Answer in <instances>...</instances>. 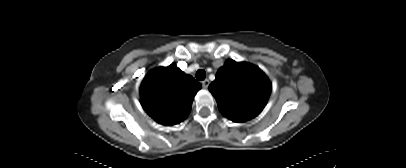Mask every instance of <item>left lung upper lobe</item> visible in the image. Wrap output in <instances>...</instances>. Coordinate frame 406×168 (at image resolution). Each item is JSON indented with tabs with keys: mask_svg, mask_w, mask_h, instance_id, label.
Wrapping results in <instances>:
<instances>
[{
	"mask_svg": "<svg viewBox=\"0 0 406 168\" xmlns=\"http://www.w3.org/2000/svg\"><path fill=\"white\" fill-rule=\"evenodd\" d=\"M209 90L224 116L234 122H245L263 110L271 93V83L257 66L227 60Z\"/></svg>",
	"mask_w": 406,
	"mask_h": 168,
	"instance_id": "1",
	"label": "left lung upper lobe"
}]
</instances>
